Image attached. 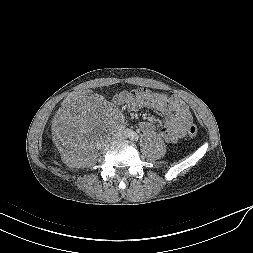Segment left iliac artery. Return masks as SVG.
<instances>
[{
    "instance_id": "1",
    "label": "left iliac artery",
    "mask_w": 253,
    "mask_h": 253,
    "mask_svg": "<svg viewBox=\"0 0 253 253\" xmlns=\"http://www.w3.org/2000/svg\"><path fill=\"white\" fill-rule=\"evenodd\" d=\"M129 137L131 138V140L133 141H138L139 140V135L135 132H131Z\"/></svg>"
}]
</instances>
